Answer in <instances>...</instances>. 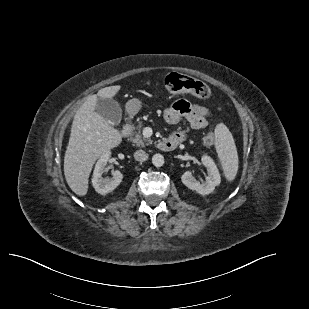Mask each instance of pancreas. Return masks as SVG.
Segmentation results:
<instances>
[{"mask_svg": "<svg viewBox=\"0 0 309 309\" xmlns=\"http://www.w3.org/2000/svg\"><path fill=\"white\" fill-rule=\"evenodd\" d=\"M142 124L133 126V133L131 137V141L138 147H144L145 145H149L152 143L151 139H146L142 136L141 133Z\"/></svg>", "mask_w": 309, "mask_h": 309, "instance_id": "cf45deb5", "label": "pancreas"}]
</instances>
